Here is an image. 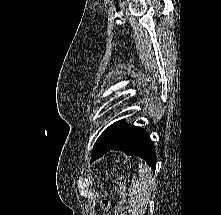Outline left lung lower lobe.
<instances>
[{"instance_id": "obj_1", "label": "left lung lower lobe", "mask_w": 221, "mask_h": 215, "mask_svg": "<svg viewBox=\"0 0 221 215\" xmlns=\"http://www.w3.org/2000/svg\"><path fill=\"white\" fill-rule=\"evenodd\" d=\"M110 150L138 155L155 171L156 154L152 140L143 128L127 124L124 119L113 123L99 136L91 160L98 159Z\"/></svg>"}]
</instances>
